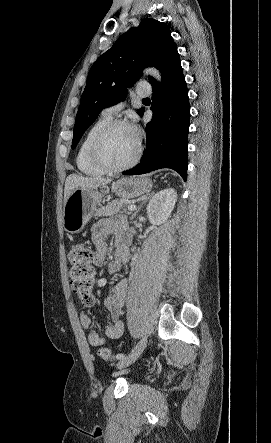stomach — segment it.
Returning <instances> with one entry per match:
<instances>
[{
	"label": "stomach",
	"mask_w": 271,
	"mask_h": 443,
	"mask_svg": "<svg viewBox=\"0 0 271 443\" xmlns=\"http://www.w3.org/2000/svg\"><path fill=\"white\" fill-rule=\"evenodd\" d=\"M113 192L119 198H138L149 194L152 182L146 176L141 178H121L115 182ZM98 188H75L67 198L63 208V227L68 233H79L93 216L94 210L102 202Z\"/></svg>",
	"instance_id": "1"
}]
</instances>
